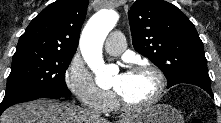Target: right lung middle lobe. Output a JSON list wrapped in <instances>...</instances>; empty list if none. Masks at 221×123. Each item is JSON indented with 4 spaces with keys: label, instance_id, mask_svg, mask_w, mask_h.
Wrapping results in <instances>:
<instances>
[{
    "label": "right lung middle lobe",
    "instance_id": "dd1d6c3e",
    "mask_svg": "<svg viewBox=\"0 0 221 123\" xmlns=\"http://www.w3.org/2000/svg\"><path fill=\"white\" fill-rule=\"evenodd\" d=\"M73 55L33 49L16 51L1 107L35 100L51 92L71 96L65 72Z\"/></svg>",
    "mask_w": 221,
    "mask_h": 123
}]
</instances>
